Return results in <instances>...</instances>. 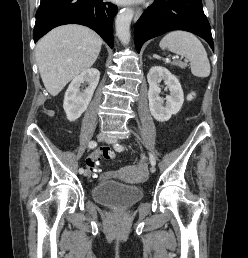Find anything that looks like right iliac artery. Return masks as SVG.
<instances>
[{
    "label": "right iliac artery",
    "instance_id": "obj_1",
    "mask_svg": "<svg viewBox=\"0 0 248 258\" xmlns=\"http://www.w3.org/2000/svg\"><path fill=\"white\" fill-rule=\"evenodd\" d=\"M96 146H97V142H96V141H90L89 144H88V147H89L90 149H94V148H96ZM79 173H80V174L84 173V169H83V168H80V169H79Z\"/></svg>",
    "mask_w": 248,
    "mask_h": 258
}]
</instances>
